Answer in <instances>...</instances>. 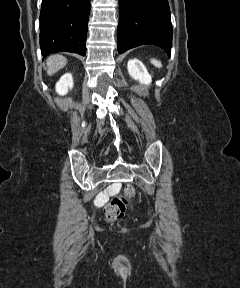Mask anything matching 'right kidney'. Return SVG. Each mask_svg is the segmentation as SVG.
<instances>
[{"label":"right kidney","instance_id":"right-kidney-1","mask_svg":"<svg viewBox=\"0 0 240 288\" xmlns=\"http://www.w3.org/2000/svg\"><path fill=\"white\" fill-rule=\"evenodd\" d=\"M56 92L59 95L67 94L69 89L73 88V78L70 73L64 74L60 80L56 83Z\"/></svg>","mask_w":240,"mask_h":288}]
</instances>
